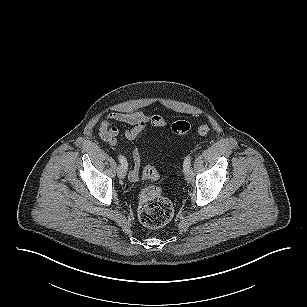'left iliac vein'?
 <instances>
[{"label": "left iliac vein", "mask_w": 307, "mask_h": 307, "mask_svg": "<svg viewBox=\"0 0 307 307\" xmlns=\"http://www.w3.org/2000/svg\"><path fill=\"white\" fill-rule=\"evenodd\" d=\"M184 173H185V179L188 181V182H193L194 180V172H193V169L191 166H189L188 168H186L184 170Z\"/></svg>", "instance_id": "1"}]
</instances>
